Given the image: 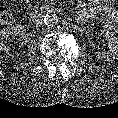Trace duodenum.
<instances>
[{
  "mask_svg": "<svg viewBox=\"0 0 118 118\" xmlns=\"http://www.w3.org/2000/svg\"><path fill=\"white\" fill-rule=\"evenodd\" d=\"M34 14H35L36 16H38V15H40V12H39L38 10H36V11L34 12Z\"/></svg>",
  "mask_w": 118,
  "mask_h": 118,
  "instance_id": "1",
  "label": "duodenum"
}]
</instances>
